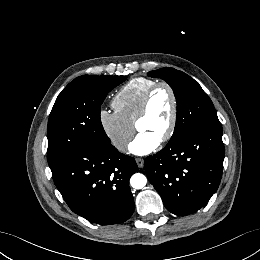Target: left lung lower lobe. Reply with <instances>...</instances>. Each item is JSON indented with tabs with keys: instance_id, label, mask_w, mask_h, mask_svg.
I'll use <instances>...</instances> for the list:
<instances>
[{
	"instance_id": "left-lung-lower-lobe-1",
	"label": "left lung lower lobe",
	"mask_w": 260,
	"mask_h": 260,
	"mask_svg": "<svg viewBox=\"0 0 260 260\" xmlns=\"http://www.w3.org/2000/svg\"><path fill=\"white\" fill-rule=\"evenodd\" d=\"M224 144L220 123L197 127L148 156L144 167L168 211L188 215L204 206L222 176Z\"/></svg>"
}]
</instances>
